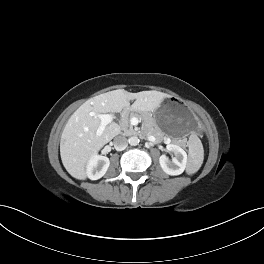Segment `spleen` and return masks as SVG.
Segmentation results:
<instances>
[{
    "mask_svg": "<svg viewBox=\"0 0 264 264\" xmlns=\"http://www.w3.org/2000/svg\"><path fill=\"white\" fill-rule=\"evenodd\" d=\"M203 159L204 150L202 143L196 134H192L189 138V161L187 165V173H196L201 167Z\"/></svg>",
    "mask_w": 264,
    "mask_h": 264,
    "instance_id": "spleen-1",
    "label": "spleen"
}]
</instances>
